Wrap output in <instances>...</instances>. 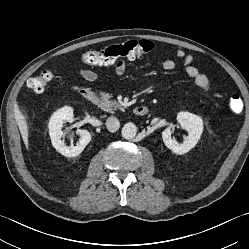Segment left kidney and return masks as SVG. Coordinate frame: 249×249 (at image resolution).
Returning <instances> with one entry per match:
<instances>
[{
	"label": "left kidney",
	"instance_id": "5707ae66",
	"mask_svg": "<svg viewBox=\"0 0 249 249\" xmlns=\"http://www.w3.org/2000/svg\"><path fill=\"white\" fill-rule=\"evenodd\" d=\"M176 119L180 126L188 132V136L185 138L184 142L180 144L175 139H172L171 127H167L162 132V138L168 149L175 154L182 155L190 151L198 143L203 132V121L201 117L183 111L177 114Z\"/></svg>",
	"mask_w": 249,
	"mask_h": 249
}]
</instances>
